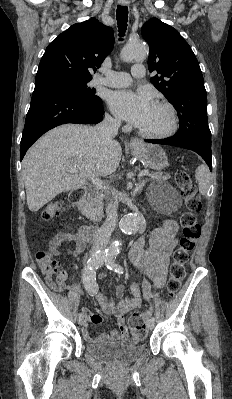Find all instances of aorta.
Segmentation results:
<instances>
[{
    "mask_svg": "<svg viewBox=\"0 0 232 399\" xmlns=\"http://www.w3.org/2000/svg\"><path fill=\"white\" fill-rule=\"evenodd\" d=\"M147 45L143 42L136 41L128 43L121 52V59L125 62L140 61L146 58ZM140 224V215L138 213H129L120 220V228L125 234H132L138 230ZM118 242L113 243L107 248L106 254L116 255L120 252Z\"/></svg>",
    "mask_w": 232,
    "mask_h": 399,
    "instance_id": "762f6f07",
    "label": "aorta"
}]
</instances>
